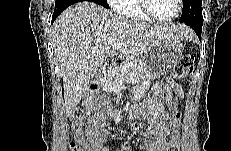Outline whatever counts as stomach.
I'll return each mask as SVG.
<instances>
[{
  "label": "stomach",
  "instance_id": "stomach-1",
  "mask_svg": "<svg viewBox=\"0 0 231 151\" xmlns=\"http://www.w3.org/2000/svg\"><path fill=\"white\" fill-rule=\"evenodd\" d=\"M183 51L184 45L178 39H165L152 46L141 57L145 74L141 81L133 87V97L136 100L142 99L151 81L167 73L180 60Z\"/></svg>",
  "mask_w": 231,
  "mask_h": 151
}]
</instances>
